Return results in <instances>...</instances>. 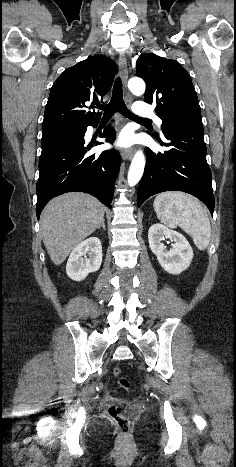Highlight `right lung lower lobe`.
<instances>
[{"mask_svg":"<svg viewBox=\"0 0 236 467\" xmlns=\"http://www.w3.org/2000/svg\"><path fill=\"white\" fill-rule=\"evenodd\" d=\"M98 122L91 125L96 126ZM86 128L41 141L40 173L36 185L38 219L53 197L72 191L89 193L111 208L114 184L120 169V154L107 150L87 156L91 147L84 146ZM100 137L112 143L115 131L107 127ZM99 144L96 142L95 145Z\"/></svg>","mask_w":236,"mask_h":467,"instance_id":"98d812e1","label":"right lung lower lobe"}]
</instances>
